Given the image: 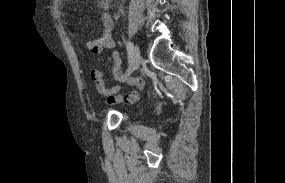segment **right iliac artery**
<instances>
[{
    "mask_svg": "<svg viewBox=\"0 0 285 183\" xmlns=\"http://www.w3.org/2000/svg\"><path fill=\"white\" fill-rule=\"evenodd\" d=\"M126 49H127V53H128V58L130 60L133 56V53H134L133 44L131 42H126Z\"/></svg>",
    "mask_w": 285,
    "mask_h": 183,
    "instance_id": "obj_1",
    "label": "right iliac artery"
}]
</instances>
